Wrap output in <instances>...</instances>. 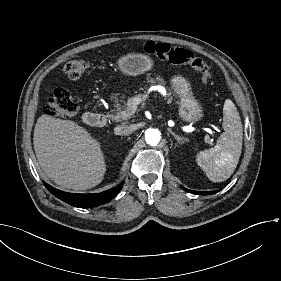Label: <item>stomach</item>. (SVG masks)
Listing matches in <instances>:
<instances>
[{
	"label": "stomach",
	"instance_id": "obj_1",
	"mask_svg": "<svg viewBox=\"0 0 281 281\" xmlns=\"http://www.w3.org/2000/svg\"><path fill=\"white\" fill-rule=\"evenodd\" d=\"M118 66L122 73L137 76L150 70L153 60L144 54L130 53L118 60ZM171 84L175 93L180 97L179 115L185 121L197 122L203 117V110L191 91L190 82L181 75L173 76Z\"/></svg>",
	"mask_w": 281,
	"mask_h": 281
}]
</instances>
